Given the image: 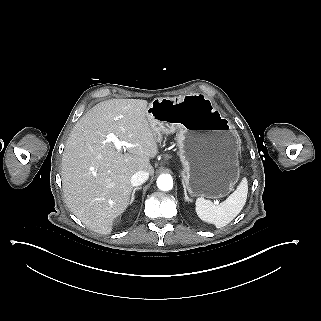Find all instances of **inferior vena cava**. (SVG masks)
Returning <instances> with one entry per match:
<instances>
[{"label":"inferior vena cava","mask_w":321,"mask_h":321,"mask_svg":"<svg viewBox=\"0 0 321 321\" xmlns=\"http://www.w3.org/2000/svg\"><path fill=\"white\" fill-rule=\"evenodd\" d=\"M149 178V174L146 171H138L131 177V184L133 186H140L145 183Z\"/></svg>","instance_id":"602c4592"}]
</instances>
